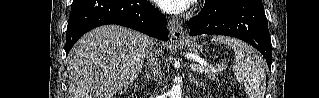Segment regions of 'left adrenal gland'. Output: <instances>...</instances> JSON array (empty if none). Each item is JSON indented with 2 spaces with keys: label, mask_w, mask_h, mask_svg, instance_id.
<instances>
[{
  "label": "left adrenal gland",
  "mask_w": 319,
  "mask_h": 98,
  "mask_svg": "<svg viewBox=\"0 0 319 98\" xmlns=\"http://www.w3.org/2000/svg\"><path fill=\"white\" fill-rule=\"evenodd\" d=\"M188 76H189V80L191 83L196 84L197 86L200 85L199 81H196L190 72H189Z\"/></svg>",
  "instance_id": "1"
}]
</instances>
